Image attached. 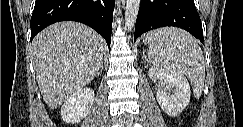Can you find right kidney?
I'll return each mask as SVG.
<instances>
[{
	"label": "right kidney",
	"instance_id": "1",
	"mask_svg": "<svg viewBox=\"0 0 243 127\" xmlns=\"http://www.w3.org/2000/svg\"><path fill=\"white\" fill-rule=\"evenodd\" d=\"M94 91L91 88H81L73 93L61 108V116L63 121L69 124L79 123L85 118L94 102Z\"/></svg>",
	"mask_w": 243,
	"mask_h": 127
}]
</instances>
